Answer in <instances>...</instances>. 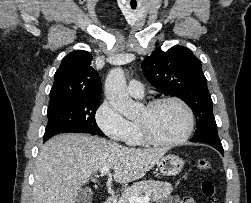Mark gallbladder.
I'll return each mask as SVG.
<instances>
[{"mask_svg":"<svg viewBox=\"0 0 251 203\" xmlns=\"http://www.w3.org/2000/svg\"><path fill=\"white\" fill-rule=\"evenodd\" d=\"M93 199V193L90 189L84 188L76 198L75 203H91Z\"/></svg>","mask_w":251,"mask_h":203,"instance_id":"1","label":"gallbladder"}]
</instances>
